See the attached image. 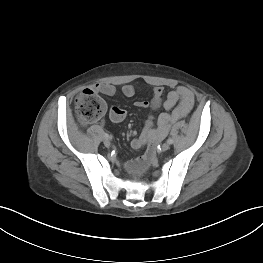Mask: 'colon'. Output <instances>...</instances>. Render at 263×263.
Listing matches in <instances>:
<instances>
[{
    "mask_svg": "<svg viewBox=\"0 0 263 263\" xmlns=\"http://www.w3.org/2000/svg\"><path fill=\"white\" fill-rule=\"evenodd\" d=\"M75 111L82 123H92L104 115L106 104L95 90L86 89L77 96Z\"/></svg>",
    "mask_w": 263,
    "mask_h": 263,
    "instance_id": "colon-1",
    "label": "colon"
}]
</instances>
